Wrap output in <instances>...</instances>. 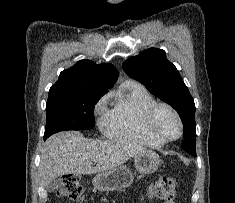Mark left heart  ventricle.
Listing matches in <instances>:
<instances>
[{"mask_svg":"<svg viewBox=\"0 0 235 203\" xmlns=\"http://www.w3.org/2000/svg\"><path fill=\"white\" fill-rule=\"evenodd\" d=\"M153 129L164 137H175L179 132V126L174 115L167 109H161L153 122Z\"/></svg>","mask_w":235,"mask_h":203,"instance_id":"obj_1","label":"left heart ventricle"}]
</instances>
